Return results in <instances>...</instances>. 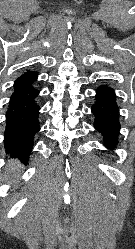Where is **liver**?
I'll list each match as a JSON object with an SVG mask.
<instances>
[{"label":"liver","instance_id":"6515ba94","mask_svg":"<svg viewBox=\"0 0 135 249\" xmlns=\"http://www.w3.org/2000/svg\"><path fill=\"white\" fill-rule=\"evenodd\" d=\"M6 169H7V171H14V172L18 171V172H20V170L23 169V166L20 164L19 161L11 160V161H9Z\"/></svg>","mask_w":135,"mask_h":249}]
</instances>
